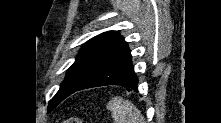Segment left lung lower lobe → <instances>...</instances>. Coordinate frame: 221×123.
I'll list each match as a JSON object with an SVG mask.
<instances>
[{
  "label": "left lung lower lobe",
  "instance_id": "0a47b994",
  "mask_svg": "<svg viewBox=\"0 0 221 123\" xmlns=\"http://www.w3.org/2000/svg\"><path fill=\"white\" fill-rule=\"evenodd\" d=\"M131 58L130 51L128 50L122 56L99 70L76 91L105 85H120L128 91L136 90L138 79L134 73Z\"/></svg>",
  "mask_w": 221,
  "mask_h": 123
}]
</instances>
